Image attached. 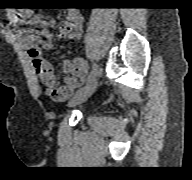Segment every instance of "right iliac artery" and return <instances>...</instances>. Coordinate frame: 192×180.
Here are the masks:
<instances>
[{
    "instance_id": "right-iliac-artery-1",
    "label": "right iliac artery",
    "mask_w": 192,
    "mask_h": 180,
    "mask_svg": "<svg viewBox=\"0 0 192 180\" xmlns=\"http://www.w3.org/2000/svg\"><path fill=\"white\" fill-rule=\"evenodd\" d=\"M97 74V66L94 64L90 74L88 75L87 82L91 81Z\"/></svg>"
}]
</instances>
